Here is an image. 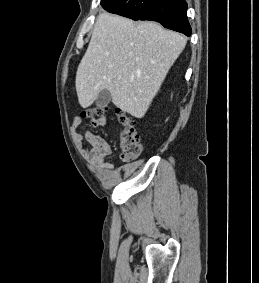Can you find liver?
Masks as SVG:
<instances>
[{"label":"liver","instance_id":"1","mask_svg":"<svg viewBox=\"0 0 259 283\" xmlns=\"http://www.w3.org/2000/svg\"><path fill=\"white\" fill-rule=\"evenodd\" d=\"M186 42L155 22L100 14L76 73L80 105L89 107L107 89L116 107L144 117Z\"/></svg>","mask_w":259,"mask_h":283}]
</instances>
